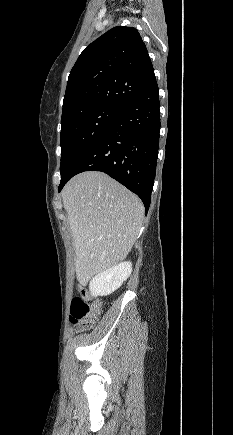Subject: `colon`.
<instances>
[{"instance_id": "1", "label": "colon", "mask_w": 233, "mask_h": 435, "mask_svg": "<svg viewBox=\"0 0 233 435\" xmlns=\"http://www.w3.org/2000/svg\"><path fill=\"white\" fill-rule=\"evenodd\" d=\"M86 294L87 289L84 286L79 287L71 303L70 321L79 332L92 329L101 312V303H87L85 300Z\"/></svg>"}]
</instances>
